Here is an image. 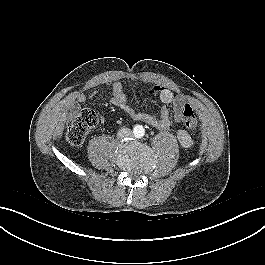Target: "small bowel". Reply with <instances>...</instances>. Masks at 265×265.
I'll use <instances>...</instances> for the list:
<instances>
[{
	"label": "small bowel",
	"mask_w": 265,
	"mask_h": 265,
	"mask_svg": "<svg viewBox=\"0 0 265 265\" xmlns=\"http://www.w3.org/2000/svg\"><path fill=\"white\" fill-rule=\"evenodd\" d=\"M94 96L95 94L91 95V97ZM159 97L162 106L160 115L157 117L152 114L134 110L128 104L126 94L120 82H115L109 92L110 102L120 108L133 120L145 123L160 130H167L170 127L172 116L177 123L182 121L183 108L186 105V99L181 95L175 94L168 88H162L159 92ZM87 99L88 96L83 93H79L75 96V100L78 103H84ZM177 138L183 147H190L192 144L191 136L182 128L177 130Z\"/></svg>",
	"instance_id": "1"
}]
</instances>
